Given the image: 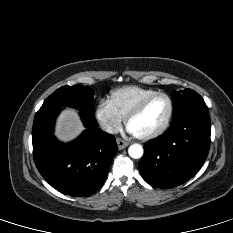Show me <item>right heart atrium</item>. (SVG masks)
<instances>
[{
    "label": "right heart atrium",
    "mask_w": 233,
    "mask_h": 233,
    "mask_svg": "<svg viewBox=\"0 0 233 233\" xmlns=\"http://www.w3.org/2000/svg\"><path fill=\"white\" fill-rule=\"evenodd\" d=\"M95 115L99 124L107 133L115 134L121 128L122 117L114 110L108 100L99 102Z\"/></svg>",
    "instance_id": "d8ad5b80"
}]
</instances>
